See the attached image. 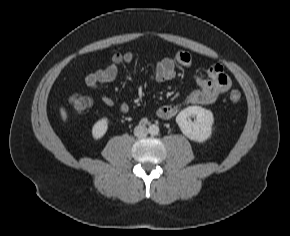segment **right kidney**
I'll return each mask as SVG.
<instances>
[{
  "instance_id": "right-kidney-1",
  "label": "right kidney",
  "mask_w": 290,
  "mask_h": 236,
  "mask_svg": "<svg viewBox=\"0 0 290 236\" xmlns=\"http://www.w3.org/2000/svg\"><path fill=\"white\" fill-rule=\"evenodd\" d=\"M108 129V119H99L92 127V136L94 139L102 138Z\"/></svg>"
}]
</instances>
